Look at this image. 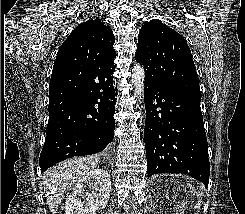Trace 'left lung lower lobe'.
I'll return each instance as SVG.
<instances>
[{"label": "left lung lower lobe", "instance_id": "obj_1", "mask_svg": "<svg viewBox=\"0 0 245 214\" xmlns=\"http://www.w3.org/2000/svg\"><path fill=\"white\" fill-rule=\"evenodd\" d=\"M145 147L148 177L180 173L209 183L208 144L201 93L169 90L145 82Z\"/></svg>", "mask_w": 245, "mask_h": 214}]
</instances>
